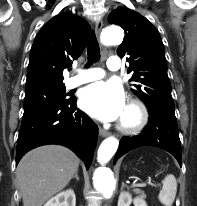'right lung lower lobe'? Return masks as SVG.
Here are the masks:
<instances>
[{
  "mask_svg": "<svg viewBox=\"0 0 197 206\" xmlns=\"http://www.w3.org/2000/svg\"><path fill=\"white\" fill-rule=\"evenodd\" d=\"M98 127L76 107V98L23 115L17 140L16 165L29 150L60 144L73 150L89 168Z\"/></svg>",
  "mask_w": 197,
  "mask_h": 206,
  "instance_id": "1",
  "label": "right lung lower lobe"
}]
</instances>
